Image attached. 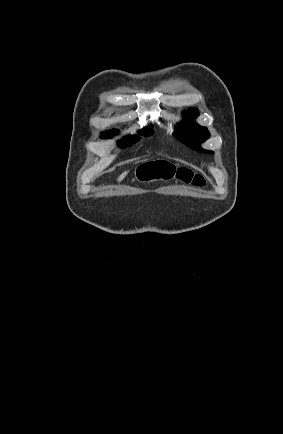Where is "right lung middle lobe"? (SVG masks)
<instances>
[{"mask_svg":"<svg viewBox=\"0 0 283 434\" xmlns=\"http://www.w3.org/2000/svg\"><path fill=\"white\" fill-rule=\"evenodd\" d=\"M152 133H153V131L152 130L148 131V129H144L141 132L142 135H150ZM111 135H112V133H107V134L103 133L102 138H109ZM136 140H137V137L126 136L121 141H119V146L120 147H126L127 145L131 144V142H133V143L136 142Z\"/></svg>","mask_w":283,"mask_h":434,"instance_id":"obj_1","label":"right lung middle lobe"}]
</instances>
